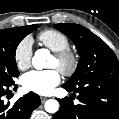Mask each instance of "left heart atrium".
<instances>
[{"label": "left heart atrium", "mask_w": 119, "mask_h": 119, "mask_svg": "<svg viewBox=\"0 0 119 119\" xmlns=\"http://www.w3.org/2000/svg\"><path fill=\"white\" fill-rule=\"evenodd\" d=\"M61 75L56 68L31 71L23 76L22 84L28 91L49 94L60 83Z\"/></svg>", "instance_id": "obj_1"}]
</instances>
